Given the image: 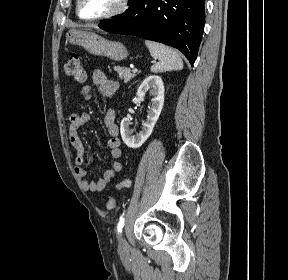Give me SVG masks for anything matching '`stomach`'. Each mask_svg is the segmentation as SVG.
<instances>
[{"mask_svg":"<svg viewBox=\"0 0 288 280\" xmlns=\"http://www.w3.org/2000/svg\"><path fill=\"white\" fill-rule=\"evenodd\" d=\"M66 39L93 55L105 56L114 61L128 57L127 48L121 42L107 40L92 31L71 29L66 33Z\"/></svg>","mask_w":288,"mask_h":280,"instance_id":"stomach-1","label":"stomach"}]
</instances>
